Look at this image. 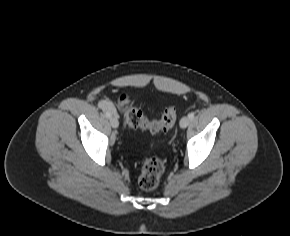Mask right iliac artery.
<instances>
[{
	"mask_svg": "<svg viewBox=\"0 0 290 236\" xmlns=\"http://www.w3.org/2000/svg\"><path fill=\"white\" fill-rule=\"evenodd\" d=\"M106 117L110 118L112 116V114L109 111L105 112Z\"/></svg>",
	"mask_w": 290,
	"mask_h": 236,
	"instance_id": "obj_1",
	"label": "right iliac artery"
}]
</instances>
